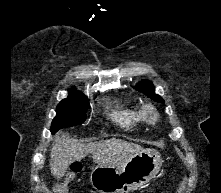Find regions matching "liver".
<instances>
[{
    "mask_svg": "<svg viewBox=\"0 0 221 193\" xmlns=\"http://www.w3.org/2000/svg\"><path fill=\"white\" fill-rule=\"evenodd\" d=\"M142 150V146L121 139L82 144L58 133L50 152V170L54 177L60 179L73 162L82 160L90 153L97 165L120 166Z\"/></svg>",
    "mask_w": 221,
    "mask_h": 193,
    "instance_id": "liver-1",
    "label": "liver"
}]
</instances>
